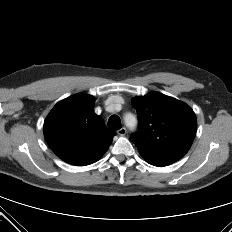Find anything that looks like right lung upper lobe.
I'll return each mask as SVG.
<instances>
[{
	"instance_id": "right-lung-upper-lobe-1",
	"label": "right lung upper lobe",
	"mask_w": 232,
	"mask_h": 232,
	"mask_svg": "<svg viewBox=\"0 0 232 232\" xmlns=\"http://www.w3.org/2000/svg\"><path fill=\"white\" fill-rule=\"evenodd\" d=\"M95 98L75 94L58 102L44 122V137L63 161L85 166L98 161L110 146L114 131L94 112Z\"/></svg>"
}]
</instances>
